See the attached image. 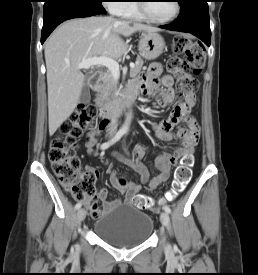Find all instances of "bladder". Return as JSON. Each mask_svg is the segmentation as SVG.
Listing matches in <instances>:
<instances>
[{
    "mask_svg": "<svg viewBox=\"0 0 258 275\" xmlns=\"http://www.w3.org/2000/svg\"><path fill=\"white\" fill-rule=\"evenodd\" d=\"M154 228L152 217L131 204H123L102 215L93 225V232L103 241L129 248L145 243Z\"/></svg>",
    "mask_w": 258,
    "mask_h": 275,
    "instance_id": "1",
    "label": "bladder"
}]
</instances>
